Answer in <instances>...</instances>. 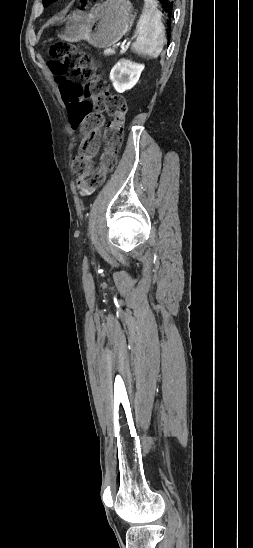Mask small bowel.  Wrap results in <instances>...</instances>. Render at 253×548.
Returning a JSON list of instances; mask_svg holds the SVG:
<instances>
[{"instance_id": "1", "label": "small bowel", "mask_w": 253, "mask_h": 548, "mask_svg": "<svg viewBox=\"0 0 253 548\" xmlns=\"http://www.w3.org/2000/svg\"><path fill=\"white\" fill-rule=\"evenodd\" d=\"M61 88V87H60ZM77 188L83 195H90L94 191V187L88 185L85 179L81 176L77 178Z\"/></svg>"}]
</instances>
